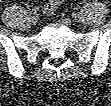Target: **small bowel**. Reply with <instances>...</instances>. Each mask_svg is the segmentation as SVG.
Returning <instances> with one entry per match:
<instances>
[{
  "instance_id": "obj_1",
  "label": "small bowel",
  "mask_w": 111,
  "mask_h": 106,
  "mask_svg": "<svg viewBox=\"0 0 111 106\" xmlns=\"http://www.w3.org/2000/svg\"><path fill=\"white\" fill-rule=\"evenodd\" d=\"M63 0H50L44 6V13L46 15H51L60 5L63 4Z\"/></svg>"
}]
</instances>
